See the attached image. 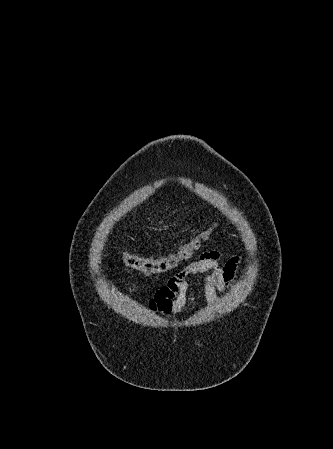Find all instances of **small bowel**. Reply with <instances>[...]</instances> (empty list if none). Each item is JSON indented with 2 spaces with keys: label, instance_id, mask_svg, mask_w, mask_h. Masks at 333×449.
Instances as JSON below:
<instances>
[{
  "label": "small bowel",
  "instance_id": "obj_1",
  "mask_svg": "<svg viewBox=\"0 0 333 449\" xmlns=\"http://www.w3.org/2000/svg\"><path fill=\"white\" fill-rule=\"evenodd\" d=\"M220 258L219 252L207 251L198 261L171 276L165 285L154 292L148 304L150 312L166 319L183 314L189 290L188 278L192 276L202 277L203 292L209 303L217 302L216 293L234 291L238 286L236 273L239 258L231 257L222 265L219 264ZM135 290V285L129 287L130 292Z\"/></svg>",
  "mask_w": 333,
  "mask_h": 449
}]
</instances>
